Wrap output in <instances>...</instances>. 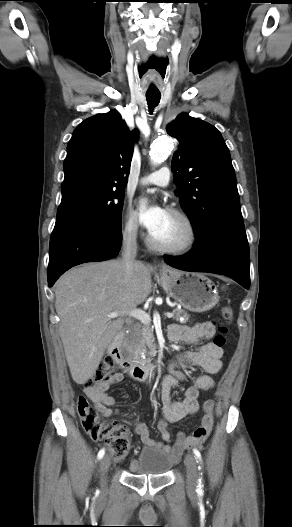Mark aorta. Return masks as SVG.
<instances>
[{
    "label": "aorta",
    "mask_w": 292,
    "mask_h": 527,
    "mask_svg": "<svg viewBox=\"0 0 292 527\" xmlns=\"http://www.w3.org/2000/svg\"><path fill=\"white\" fill-rule=\"evenodd\" d=\"M172 141L169 137L156 140L150 149V157L154 164L162 163L172 150Z\"/></svg>",
    "instance_id": "obj_1"
}]
</instances>
